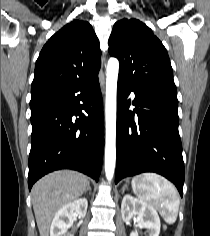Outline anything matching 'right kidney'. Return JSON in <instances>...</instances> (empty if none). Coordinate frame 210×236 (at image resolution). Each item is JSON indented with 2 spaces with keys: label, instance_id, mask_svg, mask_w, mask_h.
<instances>
[{
  "label": "right kidney",
  "instance_id": "1",
  "mask_svg": "<svg viewBox=\"0 0 210 236\" xmlns=\"http://www.w3.org/2000/svg\"><path fill=\"white\" fill-rule=\"evenodd\" d=\"M87 207V199L81 198L60 208L51 223L50 236H66L67 230L71 227L73 219L77 216L84 217L87 212Z\"/></svg>",
  "mask_w": 210,
  "mask_h": 236
}]
</instances>
